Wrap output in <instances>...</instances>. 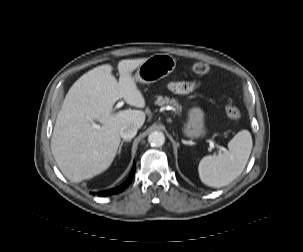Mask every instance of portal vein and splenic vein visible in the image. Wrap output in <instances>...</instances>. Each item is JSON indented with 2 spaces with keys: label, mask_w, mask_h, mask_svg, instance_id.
Wrapping results in <instances>:
<instances>
[{
  "label": "portal vein and splenic vein",
  "mask_w": 303,
  "mask_h": 252,
  "mask_svg": "<svg viewBox=\"0 0 303 252\" xmlns=\"http://www.w3.org/2000/svg\"><path fill=\"white\" fill-rule=\"evenodd\" d=\"M123 105V102H119L116 106H115V109H118L120 108L121 106ZM92 127L95 128V129H98L100 126L97 125L96 123L92 122ZM209 144H210V148L213 149L215 147V144L212 140H209ZM219 149L221 151H226V149L224 147H220L219 146Z\"/></svg>",
  "instance_id": "portal-vein-and-splenic-vein-1"
}]
</instances>
